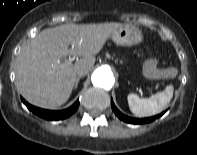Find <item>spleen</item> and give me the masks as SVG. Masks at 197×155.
<instances>
[{
    "label": "spleen",
    "instance_id": "3e777b00",
    "mask_svg": "<svg viewBox=\"0 0 197 155\" xmlns=\"http://www.w3.org/2000/svg\"><path fill=\"white\" fill-rule=\"evenodd\" d=\"M173 85H168L164 91L142 99L137 94H129L127 97L131 112L138 117H147L163 111L173 96Z\"/></svg>",
    "mask_w": 197,
    "mask_h": 155
}]
</instances>
